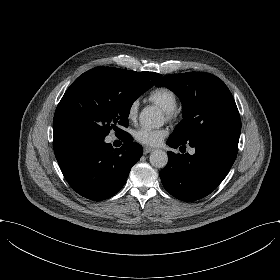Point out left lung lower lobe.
Masks as SVG:
<instances>
[{
  "mask_svg": "<svg viewBox=\"0 0 280 280\" xmlns=\"http://www.w3.org/2000/svg\"><path fill=\"white\" fill-rule=\"evenodd\" d=\"M239 135L214 134L187 141L196 152L175 154L168 152L169 161L160 171L164 188L175 198L192 202L210 194L225 178L238 152ZM183 141L170 136L172 148H185Z\"/></svg>",
  "mask_w": 280,
  "mask_h": 280,
  "instance_id": "obj_1",
  "label": "left lung lower lobe"
}]
</instances>
